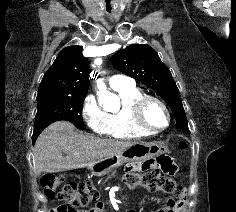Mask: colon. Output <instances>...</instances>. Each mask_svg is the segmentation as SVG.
Instances as JSON below:
<instances>
[{
	"instance_id": "1",
	"label": "colon",
	"mask_w": 236,
	"mask_h": 212,
	"mask_svg": "<svg viewBox=\"0 0 236 212\" xmlns=\"http://www.w3.org/2000/svg\"><path fill=\"white\" fill-rule=\"evenodd\" d=\"M185 141L180 142V148L185 149ZM175 167L167 157L157 160L145 161L141 165L127 166L123 175L124 183L129 187L142 185L149 191L161 192L171 195L174 199L169 202H177L183 194L182 186L173 177ZM44 194L53 198L57 189L59 200L63 202L55 208V212H84L80 209L95 202L99 197L98 188L90 181L66 180L63 176L47 174L41 180ZM161 212V211H159Z\"/></svg>"
}]
</instances>
